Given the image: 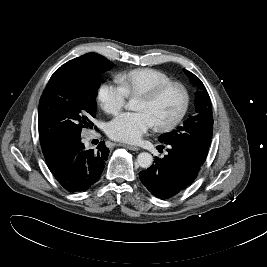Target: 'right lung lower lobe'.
Returning a JSON list of instances; mask_svg holds the SVG:
<instances>
[{
    "label": "right lung lower lobe",
    "instance_id": "98d812e1",
    "mask_svg": "<svg viewBox=\"0 0 267 267\" xmlns=\"http://www.w3.org/2000/svg\"><path fill=\"white\" fill-rule=\"evenodd\" d=\"M108 155L109 149L104 142L95 150H88L81 138L75 137L66 141L47 164L65 190L82 192L99 180Z\"/></svg>",
    "mask_w": 267,
    "mask_h": 267
}]
</instances>
